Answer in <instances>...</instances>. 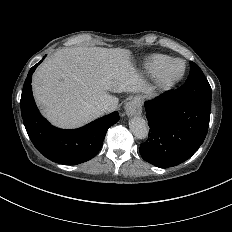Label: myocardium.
Here are the masks:
<instances>
[{
	"label": "myocardium",
	"instance_id": "1",
	"mask_svg": "<svg viewBox=\"0 0 232 232\" xmlns=\"http://www.w3.org/2000/svg\"><path fill=\"white\" fill-rule=\"evenodd\" d=\"M182 65V69L176 71V66ZM186 72V63L181 60H173L163 71H161L154 79L153 85L150 87L149 93L157 95L164 92L169 87L180 81Z\"/></svg>",
	"mask_w": 232,
	"mask_h": 232
}]
</instances>
